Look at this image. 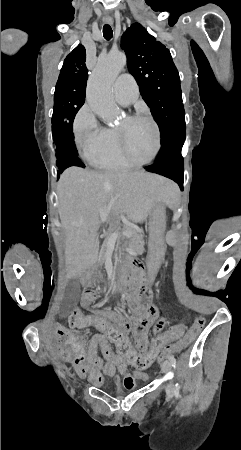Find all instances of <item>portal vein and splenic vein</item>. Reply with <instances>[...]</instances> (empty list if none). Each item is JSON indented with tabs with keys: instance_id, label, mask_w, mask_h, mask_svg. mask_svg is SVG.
I'll use <instances>...</instances> for the list:
<instances>
[{
	"instance_id": "obj_1",
	"label": "portal vein and splenic vein",
	"mask_w": 241,
	"mask_h": 450,
	"mask_svg": "<svg viewBox=\"0 0 241 450\" xmlns=\"http://www.w3.org/2000/svg\"><path fill=\"white\" fill-rule=\"evenodd\" d=\"M131 228H125V232L124 233H117L113 232V234H111L110 238H108L107 242L108 244H111V242H115L117 236H130L131 234H133L134 232L131 231Z\"/></svg>"
}]
</instances>
